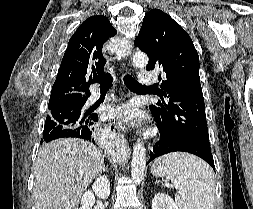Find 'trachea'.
<instances>
[{
	"instance_id": "3493384b",
	"label": "trachea",
	"mask_w": 253,
	"mask_h": 209,
	"mask_svg": "<svg viewBox=\"0 0 253 209\" xmlns=\"http://www.w3.org/2000/svg\"><path fill=\"white\" fill-rule=\"evenodd\" d=\"M93 82H98L100 84V90H108L112 87L113 77L110 73L94 78ZM124 83L129 89H142L146 88L139 84L133 77L129 74L124 76Z\"/></svg>"
}]
</instances>
